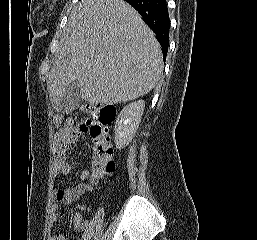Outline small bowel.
<instances>
[{"instance_id":"obj_1","label":"small bowel","mask_w":257,"mask_h":240,"mask_svg":"<svg viewBox=\"0 0 257 240\" xmlns=\"http://www.w3.org/2000/svg\"><path fill=\"white\" fill-rule=\"evenodd\" d=\"M83 124L73 125L67 123L60 128L55 134V172L63 176H68L72 173V165L66 158V152L72 143L86 132ZM90 172L83 170L79 175V182L72 188L59 189L55 192V202L50 209V222L54 224L58 219V204L69 205L77 201L89 188ZM86 227V223L81 216L75 215L74 229L76 232L81 231ZM47 240H66L63 235L50 233Z\"/></svg>"}]
</instances>
